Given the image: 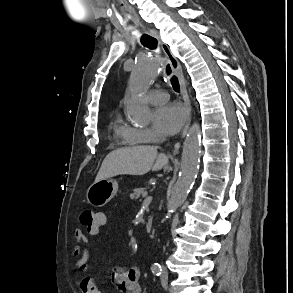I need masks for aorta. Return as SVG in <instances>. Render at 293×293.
Segmentation results:
<instances>
[{
  "mask_svg": "<svg viewBox=\"0 0 293 293\" xmlns=\"http://www.w3.org/2000/svg\"><path fill=\"white\" fill-rule=\"evenodd\" d=\"M161 72L160 60L154 55H145L137 59L131 73L125 103L126 112L139 125H148L152 120V113L144 100V94ZM200 157V126L194 123L183 144L179 176L172 188L167 206L169 213L186 200L199 171Z\"/></svg>",
  "mask_w": 293,
  "mask_h": 293,
  "instance_id": "obj_1",
  "label": "aorta"
}]
</instances>
